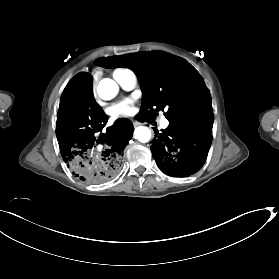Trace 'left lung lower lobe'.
Returning <instances> with one entry per match:
<instances>
[{
    "mask_svg": "<svg viewBox=\"0 0 279 279\" xmlns=\"http://www.w3.org/2000/svg\"><path fill=\"white\" fill-rule=\"evenodd\" d=\"M213 114L171 121L155 135L151 152L158 167L173 177H187L204 164L212 141Z\"/></svg>",
    "mask_w": 279,
    "mask_h": 279,
    "instance_id": "0a47b994",
    "label": "left lung lower lobe"
}]
</instances>
